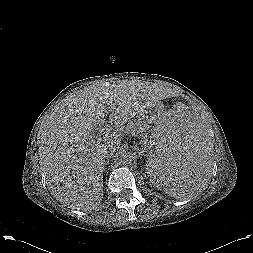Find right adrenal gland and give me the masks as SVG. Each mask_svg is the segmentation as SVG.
<instances>
[{"label": "right adrenal gland", "instance_id": "2a0ac1e0", "mask_svg": "<svg viewBox=\"0 0 253 253\" xmlns=\"http://www.w3.org/2000/svg\"><path fill=\"white\" fill-rule=\"evenodd\" d=\"M110 157H107V160L104 162V167L109 164Z\"/></svg>", "mask_w": 253, "mask_h": 253}]
</instances>
